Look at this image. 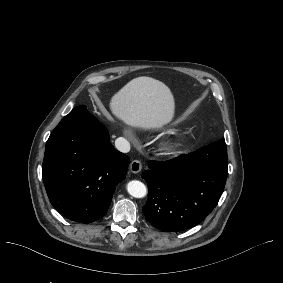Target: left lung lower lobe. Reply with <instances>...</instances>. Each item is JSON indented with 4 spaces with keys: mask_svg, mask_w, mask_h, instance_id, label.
Segmentation results:
<instances>
[{
    "mask_svg": "<svg viewBox=\"0 0 283 283\" xmlns=\"http://www.w3.org/2000/svg\"><path fill=\"white\" fill-rule=\"evenodd\" d=\"M142 174L149 196L142 208L155 228L177 232L191 228L217 206L228 176L227 147L221 139L168 161L148 162Z\"/></svg>",
    "mask_w": 283,
    "mask_h": 283,
    "instance_id": "obj_1",
    "label": "left lung lower lobe"
}]
</instances>
